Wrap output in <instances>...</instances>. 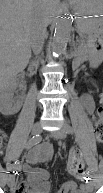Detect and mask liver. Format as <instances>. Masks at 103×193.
<instances>
[{
  "instance_id": "1",
  "label": "liver",
  "mask_w": 103,
  "mask_h": 193,
  "mask_svg": "<svg viewBox=\"0 0 103 193\" xmlns=\"http://www.w3.org/2000/svg\"><path fill=\"white\" fill-rule=\"evenodd\" d=\"M58 0H1V76L11 78L24 70L31 57L30 26L48 23Z\"/></svg>"
}]
</instances>
